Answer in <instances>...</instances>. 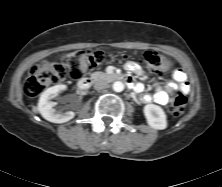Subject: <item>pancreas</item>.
Returning a JSON list of instances; mask_svg holds the SVG:
<instances>
[{"mask_svg": "<svg viewBox=\"0 0 222 187\" xmlns=\"http://www.w3.org/2000/svg\"><path fill=\"white\" fill-rule=\"evenodd\" d=\"M114 75L112 74H108V73H103V72H95L91 75V77L93 79H96L98 77H101V78H106V79H109V78H112Z\"/></svg>", "mask_w": 222, "mask_h": 187, "instance_id": "cf45deb5", "label": "pancreas"}]
</instances>
